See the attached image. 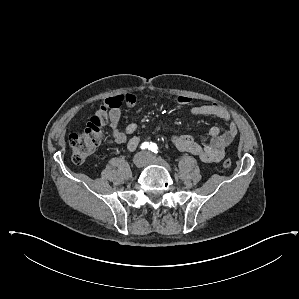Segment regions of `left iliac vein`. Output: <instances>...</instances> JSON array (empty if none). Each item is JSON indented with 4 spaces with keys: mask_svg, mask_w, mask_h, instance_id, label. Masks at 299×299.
<instances>
[{
    "mask_svg": "<svg viewBox=\"0 0 299 299\" xmlns=\"http://www.w3.org/2000/svg\"><path fill=\"white\" fill-rule=\"evenodd\" d=\"M146 162L148 164H156L165 167L168 170H171L168 163H166L161 158L153 157L150 153H146Z\"/></svg>",
    "mask_w": 299,
    "mask_h": 299,
    "instance_id": "1",
    "label": "left iliac vein"
}]
</instances>
